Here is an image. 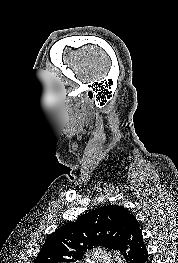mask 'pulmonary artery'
<instances>
[{"label":"pulmonary artery","instance_id":"obj_1","mask_svg":"<svg viewBox=\"0 0 178 263\" xmlns=\"http://www.w3.org/2000/svg\"><path fill=\"white\" fill-rule=\"evenodd\" d=\"M92 258L99 262L110 263L109 257L101 249H94L92 253Z\"/></svg>","mask_w":178,"mask_h":263}]
</instances>
